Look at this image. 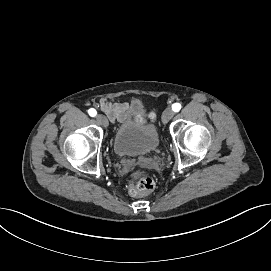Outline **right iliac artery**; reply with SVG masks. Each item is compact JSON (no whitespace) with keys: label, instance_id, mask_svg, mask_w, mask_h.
<instances>
[{"label":"right iliac artery","instance_id":"82829eb1","mask_svg":"<svg viewBox=\"0 0 271 271\" xmlns=\"http://www.w3.org/2000/svg\"><path fill=\"white\" fill-rule=\"evenodd\" d=\"M88 113H89V115H90L91 117H94V116H96V114H97L96 110L93 109V108L89 109V110H88Z\"/></svg>","mask_w":271,"mask_h":271}]
</instances>
